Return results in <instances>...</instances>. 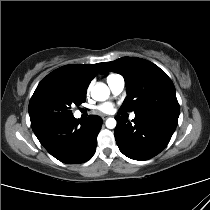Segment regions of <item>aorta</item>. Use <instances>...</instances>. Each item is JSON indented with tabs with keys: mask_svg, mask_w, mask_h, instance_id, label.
Wrapping results in <instances>:
<instances>
[{
	"mask_svg": "<svg viewBox=\"0 0 210 210\" xmlns=\"http://www.w3.org/2000/svg\"><path fill=\"white\" fill-rule=\"evenodd\" d=\"M110 94L108 86L104 83L96 84L91 90V97L96 101H105ZM116 120L114 118H108L106 120V127L113 129L116 127Z\"/></svg>",
	"mask_w": 210,
	"mask_h": 210,
	"instance_id": "obj_1",
	"label": "aorta"
}]
</instances>
